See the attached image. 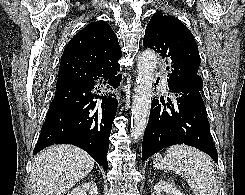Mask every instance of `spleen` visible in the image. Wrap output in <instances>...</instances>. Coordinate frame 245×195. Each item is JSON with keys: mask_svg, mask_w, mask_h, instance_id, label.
I'll return each mask as SVG.
<instances>
[{"mask_svg": "<svg viewBox=\"0 0 245 195\" xmlns=\"http://www.w3.org/2000/svg\"><path fill=\"white\" fill-rule=\"evenodd\" d=\"M153 164L157 169L175 170L188 182L195 195H217L219 181L211 159L202 151L186 145H174L166 154H156Z\"/></svg>", "mask_w": 245, "mask_h": 195, "instance_id": "obj_1", "label": "spleen"}]
</instances>
